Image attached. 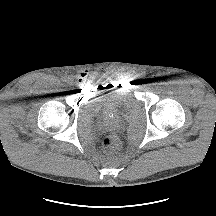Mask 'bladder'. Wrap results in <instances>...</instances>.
Instances as JSON below:
<instances>
[{"label":"bladder","instance_id":"obj_1","mask_svg":"<svg viewBox=\"0 0 216 216\" xmlns=\"http://www.w3.org/2000/svg\"><path fill=\"white\" fill-rule=\"evenodd\" d=\"M134 97L124 90L105 88L91 98V107L96 112H121L130 109Z\"/></svg>","mask_w":216,"mask_h":216}]
</instances>
